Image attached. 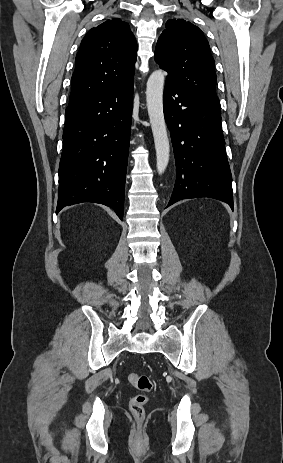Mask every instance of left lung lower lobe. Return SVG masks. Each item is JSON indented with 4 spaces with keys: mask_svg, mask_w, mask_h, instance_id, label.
I'll use <instances>...</instances> for the list:
<instances>
[{
    "mask_svg": "<svg viewBox=\"0 0 283 463\" xmlns=\"http://www.w3.org/2000/svg\"><path fill=\"white\" fill-rule=\"evenodd\" d=\"M163 109L176 161V182L167 207L182 199L210 197L233 209L220 108L166 77Z\"/></svg>",
    "mask_w": 283,
    "mask_h": 463,
    "instance_id": "0a47b994",
    "label": "left lung lower lobe"
}]
</instances>
